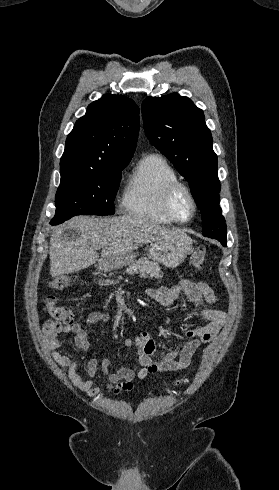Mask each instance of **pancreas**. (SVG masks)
<instances>
[{
	"instance_id": "obj_1",
	"label": "pancreas",
	"mask_w": 279,
	"mask_h": 490,
	"mask_svg": "<svg viewBox=\"0 0 279 490\" xmlns=\"http://www.w3.org/2000/svg\"><path fill=\"white\" fill-rule=\"evenodd\" d=\"M126 274H140V278H163V274L156 262H149L147 258L132 262L125 270Z\"/></svg>"
}]
</instances>
